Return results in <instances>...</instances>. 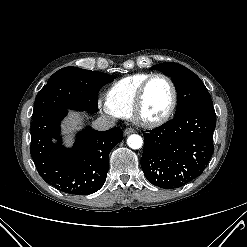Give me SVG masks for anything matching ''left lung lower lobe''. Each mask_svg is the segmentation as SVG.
I'll return each mask as SVG.
<instances>
[{"label":"left lung lower lobe","mask_w":247,"mask_h":247,"mask_svg":"<svg viewBox=\"0 0 247 247\" xmlns=\"http://www.w3.org/2000/svg\"><path fill=\"white\" fill-rule=\"evenodd\" d=\"M215 126L214 107L203 106L143 133L145 177L158 187L174 189L201 175L214 152Z\"/></svg>","instance_id":"obj_1"}]
</instances>
